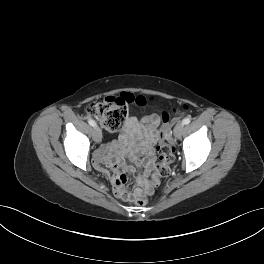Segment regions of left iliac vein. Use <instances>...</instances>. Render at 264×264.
I'll list each match as a JSON object with an SVG mask.
<instances>
[{
    "label": "left iliac vein",
    "mask_w": 264,
    "mask_h": 264,
    "mask_svg": "<svg viewBox=\"0 0 264 264\" xmlns=\"http://www.w3.org/2000/svg\"><path fill=\"white\" fill-rule=\"evenodd\" d=\"M184 124L182 122L178 123L175 128H174V136L176 138H180L181 134H182V130H183Z\"/></svg>",
    "instance_id": "obj_1"
}]
</instances>
